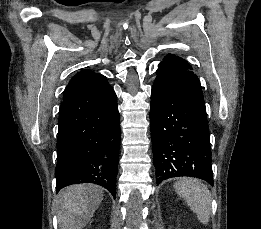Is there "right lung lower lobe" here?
<instances>
[{
	"label": "right lung lower lobe",
	"instance_id": "98d812e1",
	"mask_svg": "<svg viewBox=\"0 0 261 229\" xmlns=\"http://www.w3.org/2000/svg\"><path fill=\"white\" fill-rule=\"evenodd\" d=\"M119 146L116 94L102 75L69 94L60 106L57 192L69 185L93 183L115 198Z\"/></svg>",
	"mask_w": 261,
	"mask_h": 229
}]
</instances>
